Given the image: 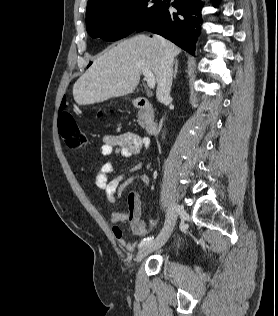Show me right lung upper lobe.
<instances>
[{
  "label": "right lung upper lobe",
  "mask_w": 278,
  "mask_h": 316,
  "mask_svg": "<svg viewBox=\"0 0 278 316\" xmlns=\"http://www.w3.org/2000/svg\"><path fill=\"white\" fill-rule=\"evenodd\" d=\"M110 0H88L86 12L92 9L93 7L105 3Z\"/></svg>",
  "instance_id": "right-lung-upper-lobe-1"
}]
</instances>
